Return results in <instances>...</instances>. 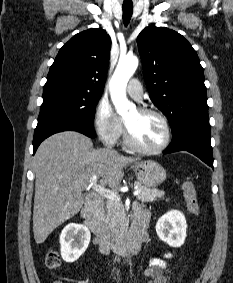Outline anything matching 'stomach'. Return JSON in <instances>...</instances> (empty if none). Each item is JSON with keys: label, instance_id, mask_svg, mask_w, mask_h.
Segmentation results:
<instances>
[{"label": "stomach", "instance_id": "obj_1", "mask_svg": "<svg viewBox=\"0 0 233 283\" xmlns=\"http://www.w3.org/2000/svg\"><path fill=\"white\" fill-rule=\"evenodd\" d=\"M140 183L146 187H156L166 179L165 169L153 160L135 163L132 166Z\"/></svg>", "mask_w": 233, "mask_h": 283}]
</instances>
